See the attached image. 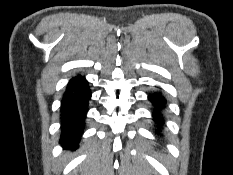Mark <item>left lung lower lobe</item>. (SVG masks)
Returning <instances> with one entry per match:
<instances>
[{"mask_svg":"<svg viewBox=\"0 0 233 175\" xmlns=\"http://www.w3.org/2000/svg\"><path fill=\"white\" fill-rule=\"evenodd\" d=\"M148 99L153 105V112H152L153 120L160 127L161 122H162V111L165 107L166 100L160 92L149 94ZM155 132L156 134H159L158 129Z\"/></svg>","mask_w":233,"mask_h":175,"instance_id":"1","label":"left lung lower lobe"}]
</instances>
